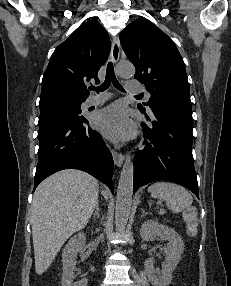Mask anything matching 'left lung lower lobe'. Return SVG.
<instances>
[{"label":"left lung lower lobe","mask_w":231,"mask_h":286,"mask_svg":"<svg viewBox=\"0 0 231 286\" xmlns=\"http://www.w3.org/2000/svg\"><path fill=\"white\" fill-rule=\"evenodd\" d=\"M150 108L153 122L150 126L142 123L145 140L134 158V191L150 182L167 180L199 198L192 156V107L155 101Z\"/></svg>","instance_id":"left-lung-lower-lobe-1"}]
</instances>
